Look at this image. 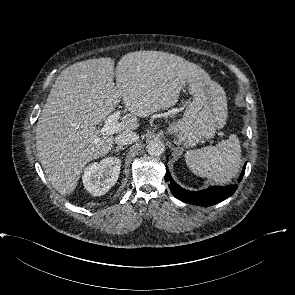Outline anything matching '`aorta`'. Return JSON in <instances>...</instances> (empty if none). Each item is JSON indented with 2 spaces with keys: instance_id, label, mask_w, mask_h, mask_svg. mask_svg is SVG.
<instances>
[{
  "instance_id": "obj_1",
  "label": "aorta",
  "mask_w": 295,
  "mask_h": 295,
  "mask_svg": "<svg viewBox=\"0 0 295 295\" xmlns=\"http://www.w3.org/2000/svg\"><path fill=\"white\" fill-rule=\"evenodd\" d=\"M165 151V145L160 139H153L147 144V152L151 156H160Z\"/></svg>"
}]
</instances>
